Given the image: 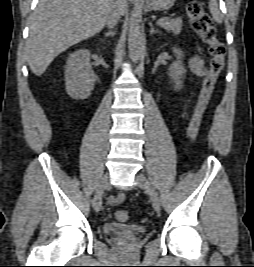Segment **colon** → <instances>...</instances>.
Segmentation results:
<instances>
[{"mask_svg":"<svg viewBox=\"0 0 254 267\" xmlns=\"http://www.w3.org/2000/svg\"><path fill=\"white\" fill-rule=\"evenodd\" d=\"M186 13L191 29L207 45L210 57V68L203 79L201 92L187 128L188 137L192 141H195L199 134L203 115L214 91L217 78L223 69L226 49L224 44L217 39L213 20L207 14L201 2H189L186 6ZM116 218L120 222H127L130 219V213L126 210H120L117 212Z\"/></svg>","mask_w":254,"mask_h":267,"instance_id":"colon-1","label":"colon"}]
</instances>
